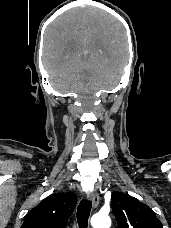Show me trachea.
<instances>
[{
	"label": "trachea",
	"mask_w": 171,
	"mask_h": 228,
	"mask_svg": "<svg viewBox=\"0 0 171 228\" xmlns=\"http://www.w3.org/2000/svg\"><path fill=\"white\" fill-rule=\"evenodd\" d=\"M91 201L82 200L77 208V221L79 228H87L88 219L91 212Z\"/></svg>",
	"instance_id": "3493384b"
}]
</instances>
